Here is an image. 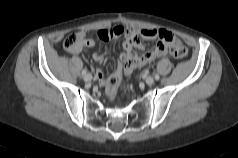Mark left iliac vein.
I'll return each instance as SVG.
<instances>
[{
    "instance_id": "obj_1",
    "label": "left iliac vein",
    "mask_w": 238,
    "mask_h": 158,
    "mask_svg": "<svg viewBox=\"0 0 238 158\" xmlns=\"http://www.w3.org/2000/svg\"><path fill=\"white\" fill-rule=\"evenodd\" d=\"M155 79L152 76H149L146 78L145 82L148 85H152L154 83Z\"/></svg>"
}]
</instances>
